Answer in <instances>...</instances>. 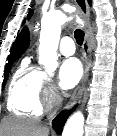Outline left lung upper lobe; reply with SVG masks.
Listing matches in <instances>:
<instances>
[{
	"label": "left lung upper lobe",
	"instance_id": "1",
	"mask_svg": "<svg viewBox=\"0 0 117 136\" xmlns=\"http://www.w3.org/2000/svg\"><path fill=\"white\" fill-rule=\"evenodd\" d=\"M88 2H89V4H91V0H88ZM31 15H32V11H30V12L28 13V18H30Z\"/></svg>",
	"mask_w": 117,
	"mask_h": 136
}]
</instances>
